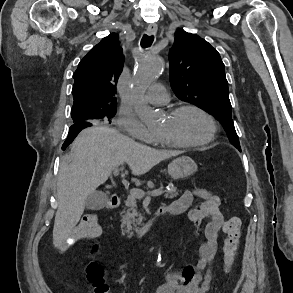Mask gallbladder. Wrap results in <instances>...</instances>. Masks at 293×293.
I'll use <instances>...</instances> for the list:
<instances>
[{"label": "gallbladder", "instance_id": "bac80fb5", "mask_svg": "<svg viewBox=\"0 0 293 293\" xmlns=\"http://www.w3.org/2000/svg\"><path fill=\"white\" fill-rule=\"evenodd\" d=\"M107 201L108 196L104 192L95 191L87 197L85 207L89 210H100L105 207Z\"/></svg>", "mask_w": 293, "mask_h": 293}]
</instances>
